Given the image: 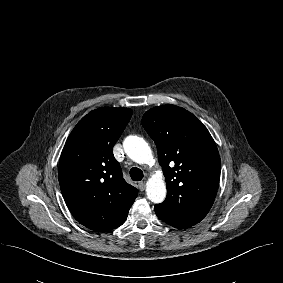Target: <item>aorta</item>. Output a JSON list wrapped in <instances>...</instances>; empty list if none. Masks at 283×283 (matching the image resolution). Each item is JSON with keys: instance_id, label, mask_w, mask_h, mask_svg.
<instances>
[{"instance_id": "1", "label": "aorta", "mask_w": 283, "mask_h": 283, "mask_svg": "<svg viewBox=\"0 0 283 283\" xmlns=\"http://www.w3.org/2000/svg\"><path fill=\"white\" fill-rule=\"evenodd\" d=\"M127 156L139 164H147L153 160L152 151L148 143L141 137L128 136L123 142ZM147 197L153 203H161L166 197V185L161 177H152L147 182Z\"/></svg>"}]
</instances>
